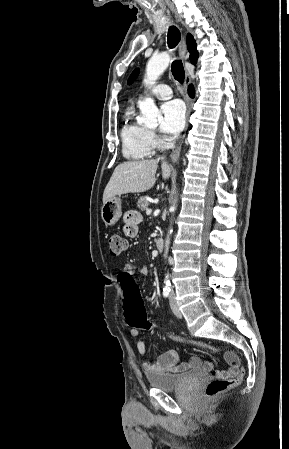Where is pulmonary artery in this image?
I'll return each mask as SVG.
<instances>
[{
	"instance_id": "obj_1",
	"label": "pulmonary artery",
	"mask_w": 289,
	"mask_h": 449,
	"mask_svg": "<svg viewBox=\"0 0 289 449\" xmlns=\"http://www.w3.org/2000/svg\"><path fill=\"white\" fill-rule=\"evenodd\" d=\"M150 93L160 99H168L172 96V90L171 88L166 84H158L154 86Z\"/></svg>"
}]
</instances>
